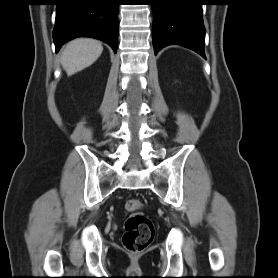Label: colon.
<instances>
[{
    "mask_svg": "<svg viewBox=\"0 0 278 278\" xmlns=\"http://www.w3.org/2000/svg\"><path fill=\"white\" fill-rule=\"evenodd\" d=\"M142 206V201L136 198L126 202V209L132 215L125 221L123 244L127 250L133 253L144 250L154 237L153 223L148 217L138 213Z\"/></svg>",
    "mask_w": 278,
    "mask_h": 278,
    "instance_id": "obj_1",
    "label": "colon"
}]
</instances>
